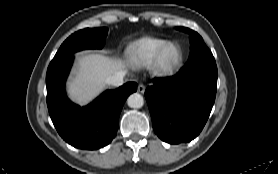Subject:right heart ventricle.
Wrapping results in <instances>:
<instances>
[{
    "instance_id": "1",
    "label": "right heart ventricle",
    "mask_w": 278,
    "mask_h": 174,
    "mask_svg": "<svg viewBox=\"0 0 278 174\" xmlns=\"http://www.w3.org/2000/svg\"><path fill=\"white\" fill-rule=\"evenodd\" d=\"M168 41L157 37H144L133 42L129 55L135 66L143 68L152 64L157 51Z\"/></svg>"
}]
</instances>
